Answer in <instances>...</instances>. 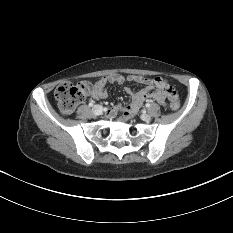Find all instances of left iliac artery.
Segmentation results:
<instances>
[{"instance_id":"left-iliac-artery-1","label":"left iliac artery","mask_w":233,"mask_h":233,"mask_svg":"<svg viewBox=\"0 0 233 233\" xmlns=\"http://www.w3.org/2000/svg\"><path fill=\"white\" fill-rule=\"evenodd\" d=\"M146 107H150V104H149V103H147V104H146Z\"/></svg>"}]
</instances>
